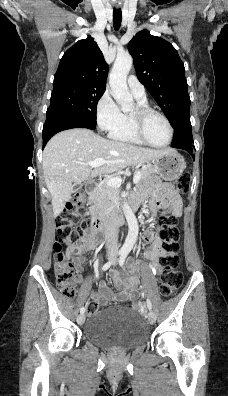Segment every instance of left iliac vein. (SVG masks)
Wrapping results in <instances>:
<instances>
[{
	"label": "left iliac vein",
	"instance_id": "4c4485c4",
	"mask_svg": "<svg viewBox=\"0 0 228 396\" xmlns=\"http://www.w3.org/2000/svg\"><path fill=\"white\" fill-rule=\"evenodd\" d=\"M148 321L150 322V324H154L156 321V315L153 311H150L148 313Z\"/></svg>",
	"mask_w": 228,
	"mask_h": 396
}]
</instances>
